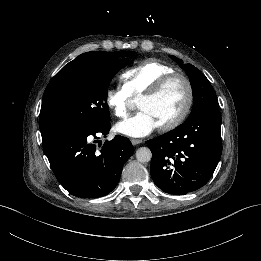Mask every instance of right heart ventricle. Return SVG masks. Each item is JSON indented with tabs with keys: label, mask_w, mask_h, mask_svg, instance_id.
<instances>
[{
	"label": "right heart ventricle",
	"mask_w": 261,
	"mask_h": 261,
	"mask_svg": "<svg viewBox=\"0 0 261 261\" xmlns=\"http://www.w3.org/2000/svg\"><path fill=\"white\" fill-rule=\"evenodd\" d=\"M174 71L171 65L159 59L143 60L123 72L122 89L132 100H137L148 93L162 76Z\"/></svg>",
	"instance_id": "obj_1"
}]
</instances>
